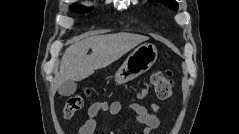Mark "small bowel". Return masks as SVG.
I'll return each mask as SVG.
<instances>
[{
  "label": "small bowel",
  "instance_id": "c3829d8e",
  "mask_svg": "<svg viewBox=\"0 0 239 134\" xmlns=\"http://www.w3.org/2000/svg\"><path fill=\"white\" fill-rule=\"evenodd\" d=\"M130 110L135 115V122L145 126L144 134H151L160 125L161 107L158 104L152 103L149 108L139 104L131 103L128 106H123L118 101L104 102L97 101L90 105L88 109V119L78 128V134H96L97 121L96 118L101 112H108L113 116H117Z\"/></svg>",
  "mask_w": 239,
  "mask_h": 134
}]
</instances>
